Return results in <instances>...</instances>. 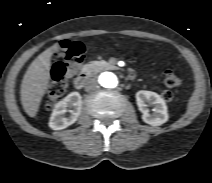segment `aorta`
<instances>
[{
    "instance_id": "762f6f07",
    "label": "aorta",
    "mask_w": 212,
    "mask_h": 183,
    "mask_svg": "<svg viewBox=\"0 0 212 183\" xmlns=\"http://www.w3.org/2000/svg\"><path fill=\"white\" fill-rule=\"evenodd\" d=\"M99 84L108 90L116 89L119 86L118 77L111 72H104L98 78Z\"/></svg>"
}]
</instances>
